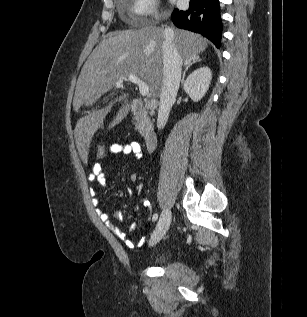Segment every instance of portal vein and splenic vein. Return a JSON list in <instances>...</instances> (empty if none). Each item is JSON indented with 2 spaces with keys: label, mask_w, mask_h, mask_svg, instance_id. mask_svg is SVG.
<instances>
[{
  "label": "portal vein and splenic vein",
  "mask_w": 307,
  "mask_h": 317,
  "mask_svg": "<svg viewBox=\"0 0 307 317\" xmlns=\"http://www.w3.org/2000/svg\"><path fill=\"white\" fill-rule=\"evenodd\" d=\"M126 80L137 84L139 87V92L142 96H147L149 95V86L147 85L146 82H144L143 80H141L138 76L136 75H129ZM123 85V80L120 79L116 82L115 87L116 88H120Z\"/></svg>",
  "instance_id": "obj_1"
}]
</instances>
